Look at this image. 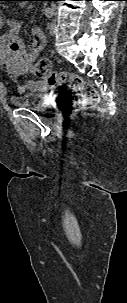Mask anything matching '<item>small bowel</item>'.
Instances as JSON below:
<instances>
[{
	"label": "small bowel",
	"instance_id": "c3829d8e",
	"mask_svg": "<svg viewBox=\"0 0 127 303\" xmlns=\"http://www.w3.org/2000/svg\"><path fill=\"white\" fill-rule=\"evenodd\" d=\"M7 31L0 33V69L12 81H17L20 76L36 74L35 61L43 51L46 37L38 27L32 29V42L27 44L19 36L22 22L17 19H5L0 13V32L3 27ZM47 87L44 78L27 80L17 85L18 92L40 91Z\"/></svg>",
	"mask_w": 127,
	"mask_h": 303
}]
</instances>
